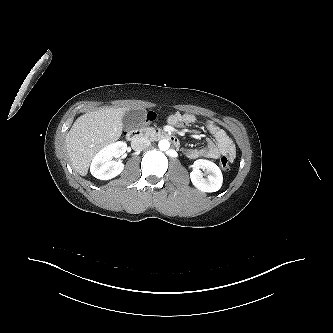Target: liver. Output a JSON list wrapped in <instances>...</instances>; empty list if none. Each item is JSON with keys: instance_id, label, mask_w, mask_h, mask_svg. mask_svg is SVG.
<instances>
[{"instance_id": "1", "label": "liver", "mask_w": 333, "mask_h": 333, "mask_svg": "<svg viewBox=\"0 0 333 333\" xmlns=\"http://www.w3.org/2000/svg\"><path fill=\"white\" fill-rule=\"evenodd\" d=\"M125 108H106L80 116L66 136L72 168L82 176L88 173L96 153L117 141L123 130Z\"/></svg>"}]
</instances>
